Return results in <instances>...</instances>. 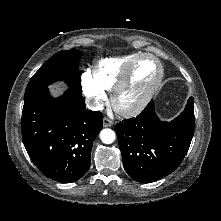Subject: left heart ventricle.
<instances>
[{
  "mask_svg": "<svg viewBox=\"0 0 221 221\" xmlns=\"http://www.w3.org/2000/svg\"><path fill=\"white\" fill-rule=\"evenodd\" d=\"M159 68L151 58H144L136 65L129 86L120 97L122 105H133L151 88Z\"/></svg>",
  "mask_w": 221,
  "mask_h": 221,
  "instance_id": "obj_1",
  "label": "left heart ventricle"
}]
</instances>
